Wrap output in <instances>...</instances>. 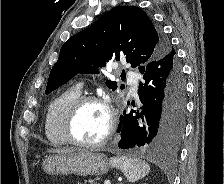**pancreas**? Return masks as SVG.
<instances>
[{
    "label": "pancreas",
    "instance_id": "obj_1",
    "mask_svg": "<svg viewBox=\"0 0 224 184\" xmlns=\"http://www.w3.org/2000/svg\"><path fill=\"white\" fill-rule=\"evenodd\" d=\"M89 184H99V183L95 182L94 180H89Z\"/></svg>",
    "mask_w": 224,
    "mask_h": 184
}]
</instances>
